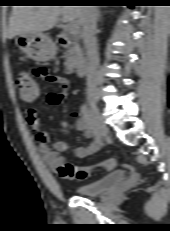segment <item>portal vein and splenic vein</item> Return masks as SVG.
Returning a JSON list of instances; mask_svg holds the SVG:
<instances>
[{
  "instance_id": "18ae733b",
  "label": "portal vein and splenic vein",
  "mask_w": 170,
  "mask_h": 231,
  "mask_svg": "<svg viewBox=\"0 0 170 231\" xmlns=\"http://www.w3.org/2000/svg\"><path fill=\"white\" fill-rule=\"evenodd\" d=\"M67 29L72 35L78 34L79 32V26L76 23L71 22L67 24Z\"/></svg>"
}]
</instances>
